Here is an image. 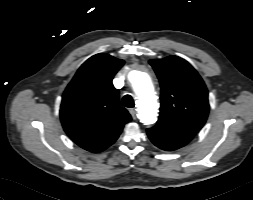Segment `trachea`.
Here are the masks:
<instances>
[{
    "label": "trachea",
    "mask_w": 253,
    "mask_h": 200,
    "mask_svg": "<svg viewBox=\"0 0 253 200\" xmlns=\"http://www.w3.org/2000/svg\"><path fill=\"white\" fill-rule=\"evenodd\" d=\"M122 105L127 108H133L134 107V100L131 95H125L122 99Z\"/></svg>",
    "instance_id": "obj_1"
}]
</instances>
